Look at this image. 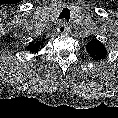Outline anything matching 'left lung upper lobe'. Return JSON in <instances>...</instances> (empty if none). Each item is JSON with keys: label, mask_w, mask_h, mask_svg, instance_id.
Listing matches in <instances>:
<instances>
[{"label": "left lung upper lobe", "mask_w": 118, "mask_h": 118, "mask_svg": "<svg viewBox=\"0 0 118 118\" xmlns=\"http://www.w3.org/2000/svg\"><path fill=\"white\" fill-rule=\"evenodd\" d=\"M86 50L90 54V56L96 60L99 61L101 59H104L107 56V49L97 39H92L87 45Z\"/></svg>", "instance_id": "5c2ea615"}]
</instances>
